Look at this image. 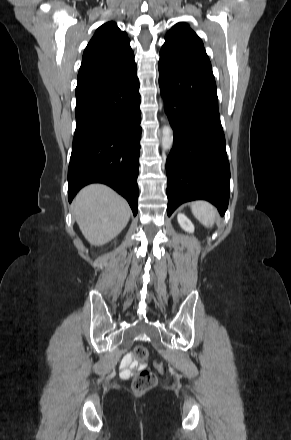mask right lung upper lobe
Listing matches in <instances>:
<instances>
[{
    "mask_svg": "<svg viewBox=\"0 0 291 440\" xmlns=\"http://www.w3.org/2000/svg\"><path fill=\"white\" fill-rule=\"evenodd\" d=\"M129 43L115 22L100 26L83 53L77 85L114 79L136 69Z\"/></svg>",
    "mask_w": 291,
    "mask_h": 440,
    "instance_id": "right-lung-upper-lobe-1",
    "label": "right lung upper lobe"
}]
</instances>
